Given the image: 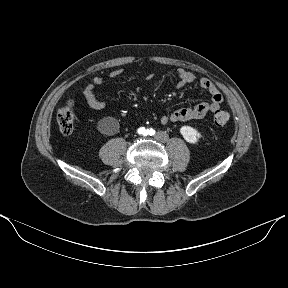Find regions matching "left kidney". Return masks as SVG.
Masks as SVG:
<instances>
[{
	"mask_svg": "<svg viewBox=\"0 0 288 288\" xmlns=\"http://www.w3.org/2000/svg\"><path fill=\"white\" fill-rule=\"evenodd\" d=\"M180 133L187 142L192 144L197 143L201 138V134L191 126H182Z\"/></svg>",
	"mask_w": 288,
	"mask_h": 288,
	"instance_id": "5707ae66",
	"label": "left kidney"
}]
</instances>
